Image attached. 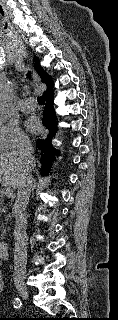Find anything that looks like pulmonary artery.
<instances>
[{"mask_svg": "<svg viewBox=\"0 0 118 320\" xmlns=\"http://www.w3.org/2000/svg\"><path fill=\"white\" fill-rule=\"evenodd\" d=\"M36 103L32 99H23L19 102V108L24 112H31L36 109Z\"/></svg>", "mask_w": 118, "mask_h": 320, "instance_id": "obj_1", "label": "pulmonary artery"}]
</instances>
